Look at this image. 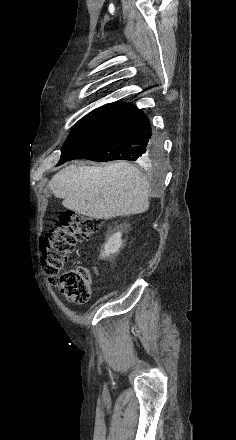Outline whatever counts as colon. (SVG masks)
<instances>
[{
    "label": "colon",
    "mask_w": 236,
    "mask_h": 440,
    "mask_svg": "<svg viewBox=\"0 0 236 440\" xmlns=\"http://www.w3.org/2000/svg\"><path fill=\"white\" fill-rule=\"evenodd\" d=\"M99 229L97 220L75 212L60 215L57 227L43 238L42 267L50 282L70 301L87 303L91 296L92 278L84 266L66 268L77 245L90 239Z\"/></svg>",
    "instance_id": "1"
}]
</instances>
